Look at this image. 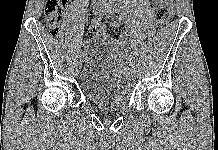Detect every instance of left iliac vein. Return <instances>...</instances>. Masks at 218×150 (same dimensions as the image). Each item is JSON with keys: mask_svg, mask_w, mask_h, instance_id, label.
<instances>
[{"mask_svg": "<svg viewBox=\"0 0 218 150\" xmlns=\"http://www.w3.org/2000/svg\"><path fill=\"white\" fill-rule=\"evenodd\" d=\"M106 8H107V6H106ZM108 10L106 9L105 10V12H107ZM108 13V12H107ZM130 76H134L135 75V72L134 71H130L129 73H128Z\"/></svg>", "mask_w": 218, "mask_h": 150, "instance_id": "4c4485c4", "label": "left iliac vein"}]
</instances>
